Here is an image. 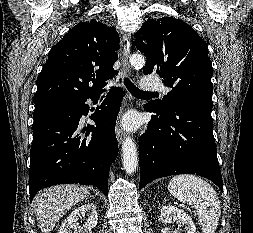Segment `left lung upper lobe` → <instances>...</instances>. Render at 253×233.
I'll return each instance as SVG.
<instances>
[{
  "label": "left lung upper lobe",
  "instance_id": "left-lung-upper-lobe-1",
  "mask_svg": "<svg viewBox=\"0 0 253 233\" xmlns=\"http://www.w3.org/2000/svg\"><path fill=\"white\" fill-rule=\"evenodd\" d=\"M135 38L134 44L147 58L144 73L156 72L172 88L152 103L160 113L190 101L213 104L208 48L191 26L172 17L149 19Z\"/></svg>",
  "mask_w": 253,
  "mask_h": 233
}]
</instances>
